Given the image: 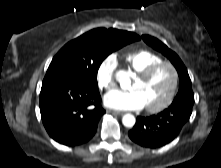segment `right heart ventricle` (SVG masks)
I'll return each mask as SVG.
<instances>
[{
  "label": "right heart ventricle",
  "instance_id": "obj_1",
  "mask_svg": "<svg viewBox=\"0 0 221 168\" xmlns=\"http://www.w3.org/2000/svg\"><path fill=\"white\" fill-rule=\"evenodd\" d=\"M124 60L129 70L139 73L150 65L162 61V58L152 51L141 49L126 54Z\"/></svg>",
  "mask_w": 221,
  "mask_h": 168
}]
</instances>
